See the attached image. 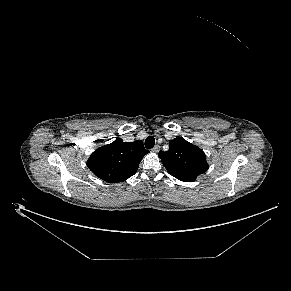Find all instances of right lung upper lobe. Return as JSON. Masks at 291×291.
I'll list each match as a JSON object with an SVG mask.
<instances>
[{
	"label": "right lung upper lobe",
	"mask_w": 291,
	"mask_h": 291,
	"mask_svg": "<svg viewBox=\"0 0 291 291\" xmlns=\"http://www.w3.org/2000/svg\"><path fill=\"white\" fill-rule=\"evenodd\" d=\"M148 152L141 140L129 143L118 138L94 151L87 166L102 180L119 183L136 173L140 161Z\"/></svg>",
	"instance_id": "1"
}]
</instances>
